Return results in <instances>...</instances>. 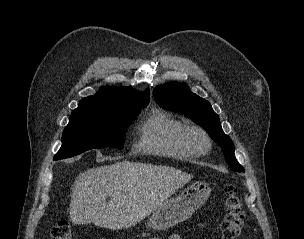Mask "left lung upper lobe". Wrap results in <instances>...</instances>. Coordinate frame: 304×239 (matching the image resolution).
Instances as JSON below:
<instances>
[{"mask_svg":"<svg viewBox=\"0 0 304 239\" xmlns=\"http://www.w3.org/2000/svg\"><path fill=\"white\" fill-rule=\"evenodd\" d=\"M153 95L162 108L183 114L202 126L221 146L230 168L237 172H244L243 167L235 158L231 138L223 132L219 117L207 100L192 93L186 84L178 82L157 86Z\"/></svg>","mask_w":304,"mask_h":239,"instance_id":"1","label":"left lung upper lobe"}]
</instances>
